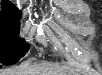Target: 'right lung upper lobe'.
<instances>
[{
	"label": "right lung upper lobe",
	"instance_id": "cb5924a9",
	"mask_svg": "<svg viewBox=\"0 0 102 75\" xmlns=\"http://www.w3.org/2000/svg\"><path fill=\"white\" fill-rule=\"evenodd\" d=\"M1 7V14L20 16V11L15 6H13L8 0H3L1 3Z\"/></svg>",
	"mask_w": 102,
	"mask_h": 75
}]
</instances>
